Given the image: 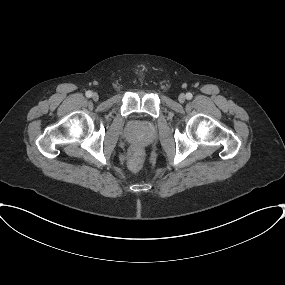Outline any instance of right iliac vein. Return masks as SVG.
Masks as SVG:
<instances>
[{"label":"right iliac vein","mask_w":285,"mask_h":285,"mask_svg":"<svg viewBox=\"0 0 285 285\" xmlns=\"http://www.w3.org/2000/svg\"><path fill=\"white\" fill-rule=\"evenodd\" d=\"M92 99H93L94 101H97V100L99 99V95H98L97 93H93V94H92Z\"/></svg>","instance_id":"obj_1"}]
</instances>
